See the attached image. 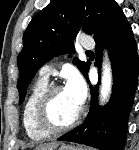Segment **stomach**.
Wrapping results in <instances>:
<instances>
[{"label": "stomach", "mask_w": 139, "mask_h": 150, "mask_svg": "<svg viewBox=\"0 0 139 150\" xmlns=\"http://www.w3.org/2000/svg\"><path fill=\"white\" fill-rule=\"evenodd\" d=\"M58 150H85V149L77 148L71 145H62Z\"/></svg>", "instance_id": "stomach-1"}]
</instances>
